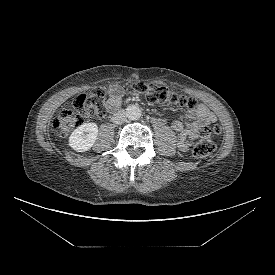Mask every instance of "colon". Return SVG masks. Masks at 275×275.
<instances>
[{"label":"colon","instance_id":"obj_1","mask_svg":"<svg viewBox=\"0 0 275 275\" xmlns=\"http://www.w3.org/2000/svg\"><path fill=\"white\" fill-rule=\"evenodd\" d=\"M136 98H144L151 104H178L189 109L197 106L192 97L178 95L165 86L135 83L128 89ZM74 111L64 110L53 120V127L60 137H67L71 131L82 125L85 118L102 117L106 113V93L103 88H96L88 94H80L73 99ZM218 127L202 126L199 139L193 153L197 158H205L215 150V141L219 136Z\"/></svg>","mask_w":275,"mask_h":275}]
</instances>
